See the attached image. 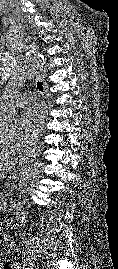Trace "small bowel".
Wrapping results in <instances>:
<instances>
[{"label":"small bowel","instance_id":"obj_1","mask_svg":"<svg viewBox=\"0 0 118 269\" xmlns=\"http://www.w3.org/2000/svg\"><path fill=\"white\" fill-rule=\"evenodd\" d=\"M4 243H9L10 242V237H5L4 240H3ZM1 269V268H0Z\"/></svg>","mask_w":118,"mask_h":269}]
</instances>
